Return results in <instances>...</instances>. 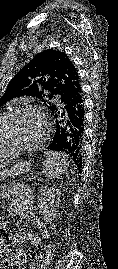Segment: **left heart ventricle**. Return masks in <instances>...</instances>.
<instances>
[{
	"label": "left heart ventricle",
	"instance_id": "obj_1",
	"mask_svg": "<svg viewBox=\"0 0 118 269\" xmlns=\"http://www.w3.org/2000/svg\"><path fill=\"white\" fill-rule=\"evenodd\" d=\"M45 125L41 117L35 112H26L14 118L3 132L5 143L18 141L34 143L44 133Z\"/></svg>",
	"mask_w": 118,
	"mask_h": 269
}]
</instances>
